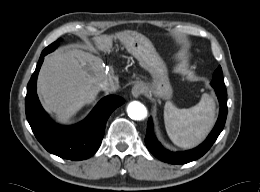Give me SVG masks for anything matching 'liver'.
<instances>
[{"label":"liver","mask_w":260,"mask_h":192,"mask_svg":"<svg viewBox=\"0 0 260 192\" xmlns=\"http://www.w3.org/2000/svg\"><path fill=\"white\" fill-rule=\"evenodd\" d=\"M113 35L93 38L96 48L109 52ZM114 77L107 74L103 61L90 52L64 47L45 57L38 75L37 90L44 107L61 119H68L84 105L94 101L100 84ZM117 78V77H116Z\"/></svg>","instance_id":"6515ba94"}]
</instances>
